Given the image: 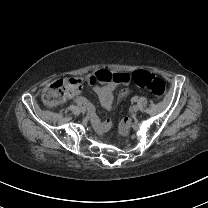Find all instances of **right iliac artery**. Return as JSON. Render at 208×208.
<instances>
[{"instance_id":"1","label":"right iliac artery","mask_w":208,"mask_h":208,"mask_svg":"<svg viewBox=\"0 0 208 208\" xmlns=\"http://www.w3.org/2000/svg\"><path fill=\"white\" fill-rule=\"evenodd\" d=\"M77 105H78L80 108L83 107L82 103H78Z\"/></svg>"}]
</instances>
